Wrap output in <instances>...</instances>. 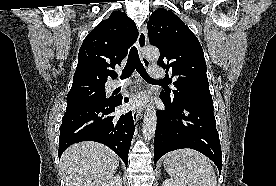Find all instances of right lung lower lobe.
<instances>
[{"label":"right lung lower lobe","instance_id":"1","mask_svg":"<svg viewBox=\"0 0 276 186\" xmlns=\"http://www.w3.org/2000/svg\"><path fill=\"white\" fill-rule=\"evenodd\" d=\"M123 101L128 102V98L114 97L106 104L66 109L60 126L59 158L74 143L96 141L111 148L127 165L135 129L132 113L112 115Z\"/></svg>","mask_w":276,"mask_h":186}]
</instances>
